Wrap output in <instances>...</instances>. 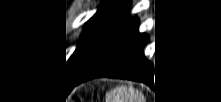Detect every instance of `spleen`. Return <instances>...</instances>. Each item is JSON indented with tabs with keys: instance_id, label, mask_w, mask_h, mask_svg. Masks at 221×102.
Segmentation results:
<instances>
[{
	"instance_id": "spleen-1",
	"label": "spleen",
	"mask_w": 221,
	"mask_h": 102,
	"mask_svg": "<svg viewBox=\"0 0 221 102\" xmlns=\"http://www.w3.org/2000/svg\"><path fill=\"white\" fill-rule=\"evenodd\" d=\"M107 102H141L143 95L132 86H119L106 95Z\"/></svg>"
}]
</instances>
